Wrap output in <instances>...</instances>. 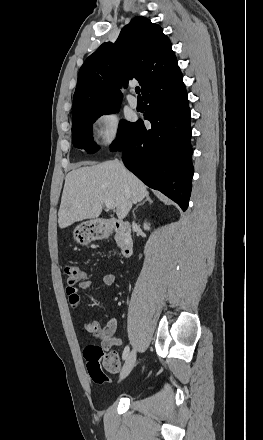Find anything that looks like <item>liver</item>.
<instances>
[{"instance_id": "6515ba94", "label": "liver", "mask_w": 263, "mask_h": 440, "mask_svg": "<svg viewBox=\"0 0 263 440\" xmlns=\"http://www.w3.org/2000/svg\"><path fill=\"white\" fill-rule=\"evenodd\" d=\"M148 195L146 185L119 161L84 165L66 175L58 212L59 227L63 229L77 221L99 217L105 200L115 203L116 215L123 220L132 204Z\"/></svg>"}]
</instances>
